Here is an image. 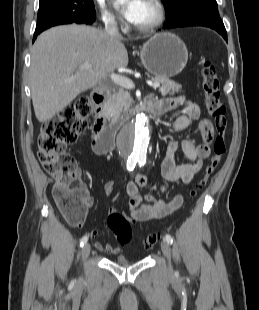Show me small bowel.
<instances>
[{"instance_id":"small-bowel-1","label":"small bowel","mask_w":259,"mask_h":310,"mask_svg":"<svg viewBox=\"0 0 259 310\" xmlns=\"http://www.w3.org/2000/svg\"><path fill=\"white\" fill-rule=\"evenodd\" d=\"M157 101V100H156ZM160 107L165 111L181 107L183 115L179 116L172 125L168 128L166 134V155L162 163V172L168 181H179L183 184H190L195 175L201 170L203 161L210 154V147L214 137L213 126L210 121L203 119L199 122V130L202 137L201 143H196L193 139H185L181 143V149L184 155L189 159V163L177 165L175 162V153L178 149V142L172 137V134L177 131L184 130L190 124L199 119L200 107L197 103L186 100L184 98H166L157 101ZM150 182L141 173L135 175L134 180L126 184V193L129 196L130 214L125 217L133 223L145 222L150 220H159L172 214L181 208L183 197L176 195L171 201L167 202L163 199H157L151 194H142L141 188H148ZM115 189V183L108 181L103 185L104 193L109 196ZM168 184L160 185L162 192H167ZM92 205V199L89 206ZM115 212L110 209L109 213ZM84 221L78 223L82 226ZM91 237L97 236V231L90 232ZM95 248L98 251L116 255L120 253V247L109 244L104 245L100 241L95 242Z\"/></svg>"}]
</instances>
